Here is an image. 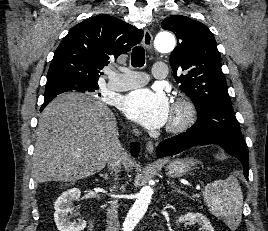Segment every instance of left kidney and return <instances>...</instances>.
<instances>
[{"label": "left kidney", "mask_w": 268, "mask_h": 231, "mask_svg": "<svg viewBox=\"0 0 268 231\" xmlns=\"http://www.w3.org/2000/svg\"><path fill=\"white\" fill-rule=\"evenodd\" d=\"M178 222H190L192 224L197 223L198 225H200L201 230L203 231H214V228L212 227L209 220L201 213L188 212L187 214L180 216Z\"/></svg>", "instance_id": "1"}]
</instances>
